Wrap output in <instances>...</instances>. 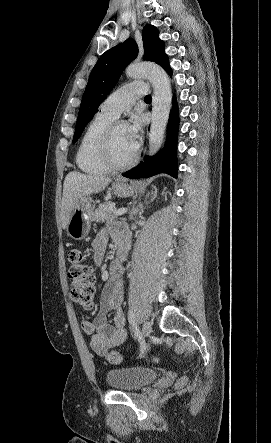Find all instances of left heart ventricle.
<instances>
[{
	"label": "left heart ventricle",
	"instance_id": "left-heart-ventricle-1",
	"mask_svg": "<svg viewBox=\"0 0 271 443\" xmlns=\"http://www.w3.org/2000/svg\"><path fill=\"white\" fill-rule=\"evenodd\" d=\"M113 153L117 161L125 162L131 159L136 150L133 148L127 133L126 125L117 126L113 136Z\"/></svg>",
	"mask_w": 271,
	"mask_h": 443
}]
</instances>
